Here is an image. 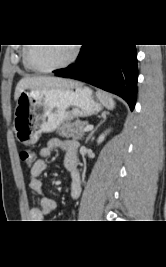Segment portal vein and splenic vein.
<instances>
[{
    "instance_id": "18ae733b",
    "label": "portal vein and splenic vein",
    "mask_w": 166,
    "mask_h": 267,
    "mask_svg": "<svg viewBox=\"0 0 166 267\" xmlns=\"http://www.w3.org/2000/svg\"><path fill=\"white\" fill-rule=\"evenodd\" d=\"M93 129V126L92 125H87L84 129H83V131L84 132H87V131H90V130H92Z\"/></svg>"
}]
</instances>
